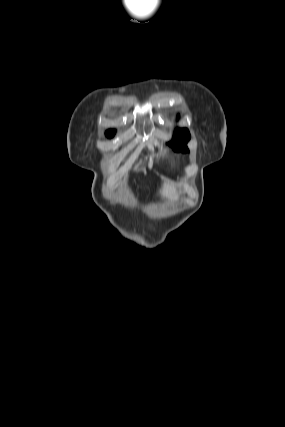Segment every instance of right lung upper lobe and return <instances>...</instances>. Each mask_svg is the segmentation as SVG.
<instances>
[{
  "instance_id": "cb5924a9",
  "label": "right lung upper lobe",
  "mask_w": 285,
  "mask_h": 427,
  "mask_svg": "<svg viewBox=\"0 0 285 427\" xmlns=\"http://www.w3.org/2000/svg\"><path fill=\"white\" fill-rule=\"evenodd\" d=\"M114 133V131H111V130H109L108 132H107V134H113Z\"/></svg>"
}]
</instances>
